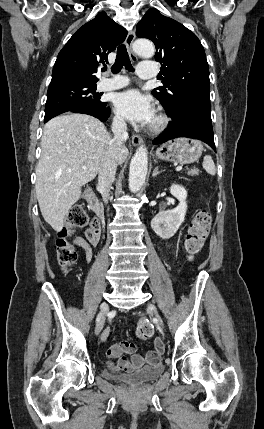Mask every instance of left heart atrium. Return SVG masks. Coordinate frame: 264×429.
<instances>
[{
    "instance_id": "left-heart-atrium-1",
    "label": "left heart atrium",
    "mask_w": 264,
    "mask_h": 429,
    "mask_svg": "<svg viewBox=\"0 0 264 429\" xmlns=\"http://www.w3.org/2000/svg\"><path fill=\"white\" fill-rule=\"evenodd\" d=\"M114 109L118 116L134 124H148L154 119L151 99L134 89L118 93Z\"/></svg>"
}]
</instances>
